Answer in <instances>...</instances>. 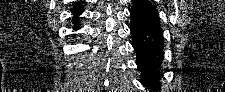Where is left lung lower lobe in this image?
I'll return each mask as SVG.
<instances>
[{"label":"left lung lower lobe","instance_id":"left-lung-lower-lobe-1","mask_svg":"<svg viewBox=\"0 0 225 92\" xmlns=\"http://www.w3.org/2000/svg\"><path fill=\"white\" fill-rule=\"evenodd\" d=\"M132 46L136 64L141 71V83L150 89L160 88V69L163 61V31L155 6L149 0H134L130 10Z\"/></svg>","mask_w":225,"mask_h":92}]
</instances>
